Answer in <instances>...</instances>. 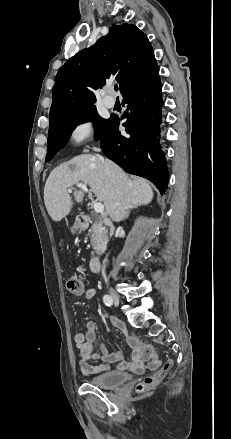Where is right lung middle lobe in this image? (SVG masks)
I'll return each mask as SVG.
<instances>
[{
    "mask_svg": "<svg viewBox=\"0 0 231 439\" xmlns=\"http://www.w3.org/2000/svg\"><path fill=\"white\" fill-rule=\"evenodd\" d=\"M87 121H93L96 124L98 129L96 138L101 139L108 128L110 119L100 117L96 108L93 107L50 125L46 161H50L56 152L64 147L77 125Z\"/></svg>",
    "mask_w": 231,
    "mask_h": 439,
    "instance_id": "right-lung-middle-lobe-1",
    "label": "right lung middle lobe"
}]
</instances>
